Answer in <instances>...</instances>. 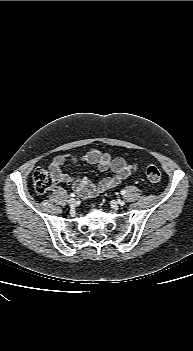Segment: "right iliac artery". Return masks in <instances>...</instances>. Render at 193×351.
Returning <instances> with one entry per match:
<instances>
[{
	"label": "right iliac artery",
	"mask_w": 193,
	"mask_h": 351,
	"mask_svg": "<svg viewBox=\"0 0 193 351\" xmlns=\"http://www.w3.org/2000/svg\"><path fill=\"white\" fill-rule=\"evenodd\" d=\"M70 197H71V198L75 197V194H74V193H71V194H70Z\"/></svg>",
	"instance_id": "obj_1"
}]
</instances>
